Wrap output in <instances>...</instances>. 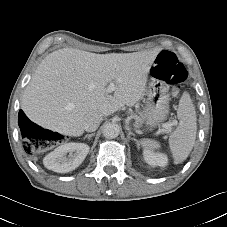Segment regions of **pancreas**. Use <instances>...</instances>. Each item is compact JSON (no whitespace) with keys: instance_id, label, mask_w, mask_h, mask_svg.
<instances>
[{"instance_id":"cf45deb5","label":"pancreas","mask_w":227,"mask_h":227,"mask_svg":"<svg viewBox=\"0 0 227 227\" xmlns=\"http://www.w3.org/2000/svg\"><path fill=\"white\" fill-rule=\"evenodd\" d=\"M141 121V119H138V121H137V125H139V122Z\"/></svg>"}]
</instances>
